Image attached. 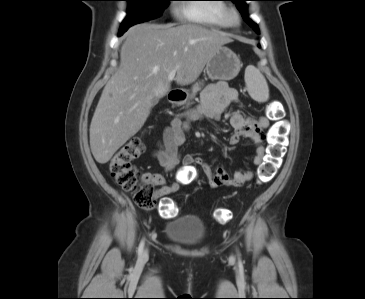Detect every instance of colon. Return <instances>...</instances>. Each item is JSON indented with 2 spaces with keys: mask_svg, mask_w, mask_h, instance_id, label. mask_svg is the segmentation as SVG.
Here are the masks:
<instances>
[{
  "mask_svg": "<svg viewBox=\"0 0 365 299\" xmlns=\"http://www.w3.org/2000/svg\"><path fill=\"white\" fill-rule=\"evenodd\" d=\"M282 108L275 102L269 109V117L275 120V124L269 133L268 153L262 165L259 167L257 181L267 183L273 179L280 167L285 153L287 123L281 119ZM144 150V142L140 135L134 136L124 143L111 158L108 170L115 182L126 192L131 193L136 204L143 209H152L156 204V196L153 184L140 182L138 171L132 161L140 156ZM177 211L176 204L169 200H163L160 213L164 217H171ZM215 220L226 223L231 219V212L224 208L213 212Z\"/></svg>",
  "mask_w": 365,
  "mask_h": 299,
  "instance_id": "colon-1",
  "label": "colon"
}]
</instances>
